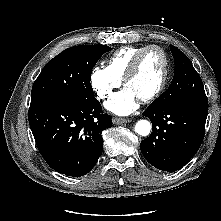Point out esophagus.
<instances>
[{"label":"esophagus","instance_id":"34e87169","mask_svg":"<svg viewBox=\"0 0 221 221\" xmlns=\"http://www.w3.org/2000/svg\"><path fill=\"white\" fill-rule=\"evenodd\" d=\"M130 122V119H127V118H118V117H115L113 119V123L114 124H117V125H120V124H124V123H128Z\"/></svg>","mask_w":221,"mask_h":221}]
</instances>
